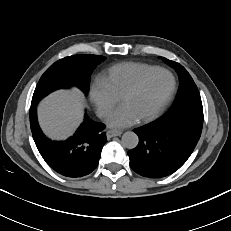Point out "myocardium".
Wrapping results in <instances>:
<instances>
[{"mask_svg": "<svg viewBox=\"0 0 231 231\" xmlns=\"http://www.w3.org/2000/svg\"><path fill=\"white\" fill-rule=\"evenodd\" d=\"M159 72H165L168 73L171 78H172V88L169 92V94L167 95V97L163 100V102L161 103V105L150 115L139 118V122L145 123V122H149L154 120L155 118H157L163 111L164 109L167 107V105L170 103V101L172 100V98L174 97L175 93H176V89H177V81H176V77L175 75L168 69L165 68H156L148 73H146L145 75H143L140 79H138L121 97V101L124 102V100L126 98H128L129 96L133 95L134 93H136L137 91H139L142 86L155 74L159 73Z\"/></svg>", "mask_w": 231, "mask_h": 231, "instance_id": "f54148a6", "label": "myocardium"}]
</instances>
